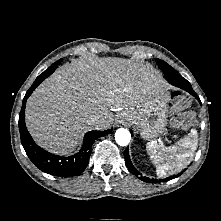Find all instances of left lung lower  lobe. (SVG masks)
<instances>
[{
  "label": "left lung lower lobe",
  "instance_id": "1",
  "mask_svg": "<svg viewBox=\"0 0 221 221\" xmlns=\"http://www.w3.org/2000/svg\"><path fill=\"white\" fill-rule=\"evenodd\" d=\"M170 83V82H169ZM170 84L181 88L185 91H187L188 93H190L191 95H193L199 102L200 99L198 97V95L195 93V91L193 90V88L191 87L190 83L183 77H181L179 80L173 81ZM201 103V102H200ZM124 157H125V162L126 165L128 167V169L134 174V175H140V173L136 170V168L133 166L130 157H129V152H128V148L124 151ZM182 174V172L174 177H170L164 180H155V179H150V178H146V177H139L141 180L145 181V182H152V183H158L161 181H165V180H170L172 178H176L178 176H180Z\"/></svg>",
  "mask_w": 221,
  "mask_h": 221
}]
</instances>
